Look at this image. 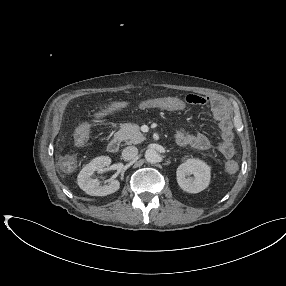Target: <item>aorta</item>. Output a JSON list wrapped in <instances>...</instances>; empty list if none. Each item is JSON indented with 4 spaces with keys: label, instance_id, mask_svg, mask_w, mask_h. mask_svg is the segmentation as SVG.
Returning a JSON list of instances; mask_svg holds the SVG:
<instances>
[{
    "label": "aorta",
    "instance_id": "1",
    "mask_svg": "<svg viewBox=\"0 0 286 286\" xmlns=\"http://www.w3.org/2000/svg\"><path fill=\"white\" fill-rule=\"evenodd\" d=\"M145 159L149 163H157L159 161V154L154 149H148L145 152Z\"/></svg>",
    "mask_w": 286,
    "mask_h": 286
}]
</instances>
